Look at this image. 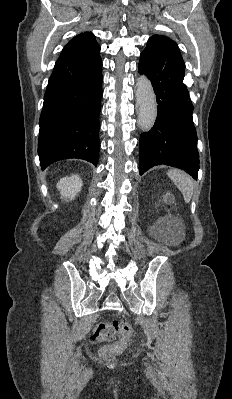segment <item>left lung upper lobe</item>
<instances>
[{"mask_svg":"<svg viewBox=\"0 0 232 399\" xmlns=\"http://www.w3.org/2000/svg\"><path fill=\"white\" fill-rule=\"evenodd\" d=\"M150 40H162V41H165V42L173 45L179 51L178 45L173 40L169 39L168 37H165V36H162V35H153L148 41H150Z\"/></svg>","mask_w":232,"mask_h":399,"instance_id":"5c2ea615","label":"left lung upper lobe"}]
</instances>
